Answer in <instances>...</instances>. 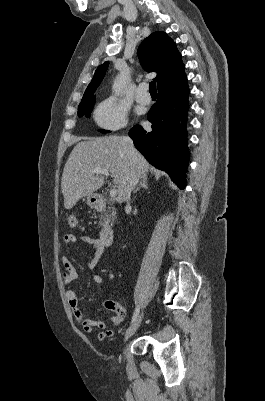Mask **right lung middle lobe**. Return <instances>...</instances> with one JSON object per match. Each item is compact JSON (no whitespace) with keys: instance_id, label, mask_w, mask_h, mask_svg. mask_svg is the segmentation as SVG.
<instances>
[{"instance_id":"1","label":"right lung middle lobe","mask_w":265,"mask_h":401,"mask_svg":"<svg viewBox=\"0 0 265 401\" xmlns=\"http://www.w3.org/2000/svg\"><path fill=\"white\" fill-rule=\"evenodd\" d=\"M95 102V98H91L89 100H86L84 102H81L78 108V114L79 116L85 115L86 117L90 116L91 110L93 108ZM101 132L106 133L108 131L101 130Z\"/></svg>"}]
</instances>
